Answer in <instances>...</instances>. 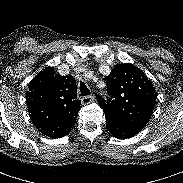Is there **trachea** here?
Returning <instances> with one entry per match:
<instances>
[{"label":"trachea","mask_w":183,"mask_h":183,"mask_svg":"<svg viewBox=\"0 0 183 183\" xmlns=\"http://www.w3.org/2000/svg\"><path fill=\"white\" fill-rule=\"evenodd\" d=\"M80 93L82 96L90 94V90L87 88L84 82H80Z\"/></svg>","instance_id":"3493384b"}]
</instances>
